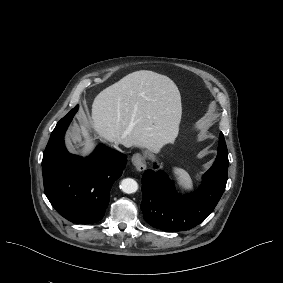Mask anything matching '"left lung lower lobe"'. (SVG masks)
<instances>
[{
    "instance_id": "left-lung-lower-lobe-1",
    "label": "left lung lower lobe",
    "mask_w": 283,
    "mask_h": 283,
    "mask_svg": "<svg viewBox=\"0 0 283 283\" xmlns=\"http://www.w3.org/2000/svg\"><path fill=\"white\" fill-rule=\"evenodd\" d=\"M228 165L227 146L220 133L216 160L197 191L181 195L163 171L146 170L142 176L141 203L145 221L168 232L189 230L200 224L214 210L225 190Z\"/></svg>"
}]
</instances>
